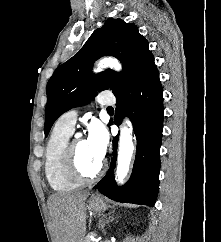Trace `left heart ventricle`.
<instances>
[{"mask_svg":"<svg viewBox=\"0 0 221 242\" xmlns=\"http://www.w3.org/2000/svg\"><path fill=\"white\" fill-rule=\"evenodd\" d=\"M75 149L81 170L87 174L93 173L101 161L92 155L85 140H75Z\"/></svg>","mask_w":221,"mask_h":242,"instance_id":"obj_1","label":"left heart ventricle"}]
</instances>
